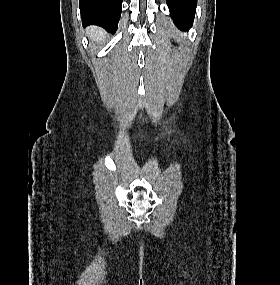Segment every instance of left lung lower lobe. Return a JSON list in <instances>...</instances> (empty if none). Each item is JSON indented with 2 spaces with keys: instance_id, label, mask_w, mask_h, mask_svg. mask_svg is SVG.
Listing matches in <instances>:
<instances>
[{
  "instance_id": "1",
  "label": "left lung lower lobe",
  "mask_w": 280,
  "mask_h": 285,
  "mask_svg": "<svg viewBox=\"0 0 280 285\" xmlns=\"http://www.w3.org/2000/svg\"><path fill=\"white\" fill-rule=\"evenodd\" d=\"M174 23L182 30L192 26L197 0H166Z\"/></svg>"
}]
</instances>
